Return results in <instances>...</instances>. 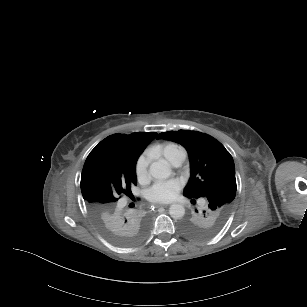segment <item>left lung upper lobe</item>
<instances>
[{"instance_id": "5c2ea615", "label": "left lung upper lobe", "mask_w": 307, "mask_h": 307, "mask_svg": "<svg viewBox=\"0 0 307 307\" xmlns=\"http://www.w3.org/2000/svg\"><path fill=\"white\" fill-rule=\"evenodd\" d=\"M157 138L177 142L186 148L191 177L184 196L208 200L181 222V231L193 239H206L224 225L236 194L235 166L230 153L215 138L197 131L179 130L160 133Z\"/></svg>"}]
</instances>
